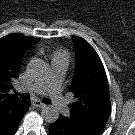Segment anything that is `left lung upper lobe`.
I'll use <instances>...</instances> for the list:
<instances>
[{
	"instance_id": "1",
	"label": "left lung upper lobe",
	"mask_w": 135,
	"mask_h": 135,
	"mask_svg": "<svg viewBox=\"0 0 135 135\" xmlns=\"http://www.w3.org/2000/svg\"><path fill=\"white\" fill-rule=\"evenodd\" d=\"M76 48L75 74L70 86L76 102L70 107L68 121L98 135L110 113L109 88L105 69L94 50L84 39L72 37Z\"/></svg>"
}]
</instances>
